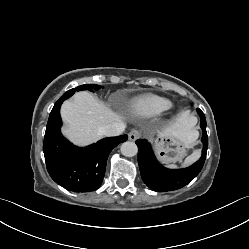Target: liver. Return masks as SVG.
Masks as SVG:
<instances>
[{
	"label": "liver",
	"instance_id": "obj_1",
	"mask_svg": "<svg viewBox=\"0 0 249 249\" xmlns=\"http://www.w3.org/2000/svg\"><path fill=\"white\" fill-rule=\"evenodd\" d=\"M61 116L66 124L63 134L74 144L85 146L102 137L100 128L122 120V116L113 112L87 91H81L72 100L65 101L61 107ZM196 119L187 112L179 115L165 129L164 134L181 136L186 144L192 145L198 137L193 130Z\"/></svg>",
	"mask_w": 249,
	"mask_h": 249
}]
</instances>
